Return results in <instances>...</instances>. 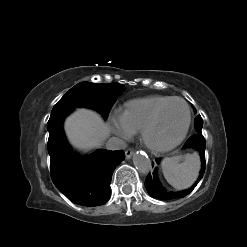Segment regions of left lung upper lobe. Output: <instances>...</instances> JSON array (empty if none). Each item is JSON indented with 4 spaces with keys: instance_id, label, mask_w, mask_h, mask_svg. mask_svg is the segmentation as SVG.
Segmentation results:
<instances>
[{
    "instance_id": "left-lung-upper-lobe-1",
    "label": "left lung upper lobe",
    "mask_w": 247,
    "mask_h": 247,
    "mask_svg": "<svg viewBox=\"0 0 247 247\" xmlns=\"http://www.w3.org/2000/svg\"><path fill=\"white\" fill-rule=\"evenodd\" d=\"M202 126H203V119H202V117L200 115H198L195 118V127H196V130H197V134H201Z\"/></svg>"
}]
</instances>
